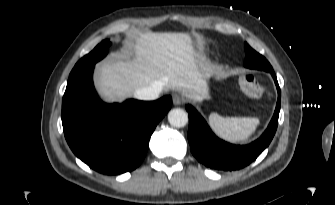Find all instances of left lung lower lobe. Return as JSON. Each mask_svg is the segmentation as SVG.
<instances>
[{"label":"left lung lower lobe","mask_w":335,"mask_h":205,"mask_svg":"<svg viewBox=\"0 0 335 205\" xmlns=\"http://www.w3.org/2000/svg\"><path fill=\"white\" fill-rule=\"evenodd\" d=\"M270 73L278 92L276 109L264 134L248 145H234L219 139L196 109L191 105L186 106L189 112L188 141L192 154L199 162L212 169L239 170L253 162L270 144L278 126L281 105L277 78L274 71Z\"/></svg>","instance_id":"0a47b994"}]
</instances>
